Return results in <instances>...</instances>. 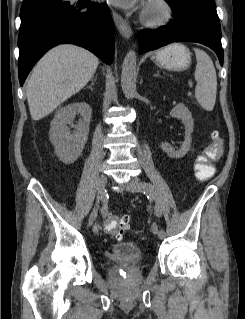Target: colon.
<instances>
[{
	"label": "colon",
	"instance_id": "1",
	"mask_svg": "<svg viewBox=\"0 0 245 319\" xmlns=\"http://www.w3.org/2000/svg\"><path fill=\"white\" fill-rule=\"evenodd\" d=\"M223 152V142L218 132H213L210 144L205 148L204 152L198 157L194 172L199 180H208L215 173L214 163L218 161ZM129 221L128 215L121 214L111 216L105 223V229L109 233L120 237L127 228Z\"/></svg>",
	"mask_w": 245,
	"mask_h": 319
}]
</instances>
